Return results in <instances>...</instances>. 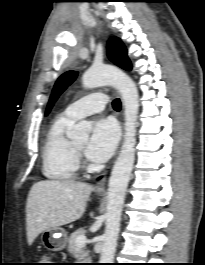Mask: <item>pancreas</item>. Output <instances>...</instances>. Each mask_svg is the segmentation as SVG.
Returning a JSON list of instances; mask_svg holds the SVG:
<instances>
[{"instance_id":"cf45deb5","label":"pancreas","mask_w":205,"mask_h":265,"mask_svg":"<svg viewBox=\"0 0 205 265\" xmlns=\"http://www.w3.org/2000/svg\"><path fill=\"white\" fill-rule=\"evenodd\" d=\"M84 234H85V230L83 228H80L76 230L75 232H73L68 239V252L72 256L80 260L82 263H86L91 260L89 256V251L85 250L84 247H78L75 242L78 236L84 235Z\"/></svg>"}]
</instances>
